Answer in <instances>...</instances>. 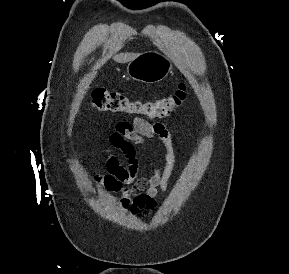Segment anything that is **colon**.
<instances>
[{
    "mask_svg": "<svg viewBox=\"0 0 289 274\" xmlns=\"http://www.w3.org/2000/svg\"><path fill=\"white\" fill-rule=\"evenodd\" d=\"M186 97L185 83H180L173 95L152 101L133 100L121 92L96 89L92 93V104L100 111L123 112L155 119L174 113L184 103Z\"/></svg>",
    "mask_w": 289,
    "mask_h": 274,
    "instance_id": "obj_1",
    "label": "colon"
}]
</instances>
